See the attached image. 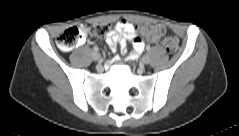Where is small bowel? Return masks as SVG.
<instances>
[{
  "label": "small bowel",
  "instance_id": "1",
  "mask_svg": "<svg viewBox=\"0 0 239 136\" xmlns=\"http://www.w3.org/2000/svg\"><path fill=\"white\" fill-rule=\"evenodd\" d=\"M90 40L83 35L80 43L89 42ZM106 42L113 52L120 46L122 54L126 55L131 60H136L143 52L145 43L143 39L136 35V28L133 24L126 20H120L114 24L111 31L106 35ZM128 43H131L133 50H128Z\"/></svg>",
  "mask_w": 239,
  "mask_h": 136
}]
</instances>
